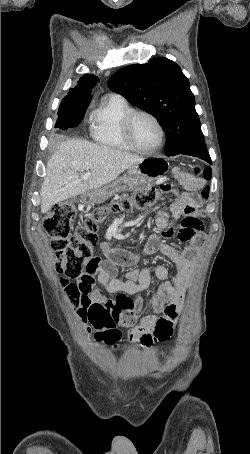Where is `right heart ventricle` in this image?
Wrapping results in <instances>:
<instances>
[{"mask_svg": "<svg viewBox=\"0 0 250 454\" xmlns=\"http://www.w3.org/2000/svg\"><path fill=\"white\" fill-rule=\"evenodd\" d=\"M133 110L119 96H112L102 102L91 115L90 133L94 141L111 149L131 151L123 137L122 121Z\"/></svg>", "mask_w": 250, "mask_h": 454, "instance_id": "e07e8e85", "label": "right heart ventricle"}]
</instances>
